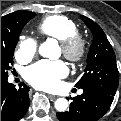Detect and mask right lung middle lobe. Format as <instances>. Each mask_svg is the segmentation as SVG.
Masks as SVG:
<instances>
[{
    "instance_id": "dd1d6c3e",
    "label": "right lung middle lobe",
    "mask_w": 121,
    "mask_h": 121,
    "mask_svg": "<svg viewBox=\"0 0 121 121\" xmlns=\"http://www.w3.org/2000/svg\"><path fill=\"white\" fill-rule=\"evenodd\" d=\"M35 15L34 12H28L20 19L1 27V78L8 77V71L11 69V65H13L14 49L19 35L25 24Z\"/></svg>"
}]
</instances>
